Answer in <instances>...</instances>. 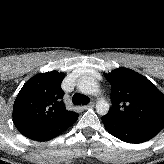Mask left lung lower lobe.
<instances>
[{
  "label": "left lung lower lobe",
  "mask_w": 164,
  "mask_h": 164,
  "mask_svg": "<svg viewBox=\"0 0 164 164\" xmlns=\"http://www.w3.org/2000/svg\"><path fill=\"white\" fill-rule=\"evenodd\" d=\"M105 128L116 138L128 143H142L150 140L159 132L127 124L111 114L102 117Z\"/></svg>",
  "instance_id": "left-lung-lower-lobe-1"
}]
</instances>
